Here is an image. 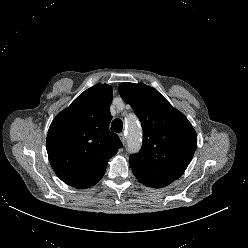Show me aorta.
<instances>
[{"mask_svg": "<svg viewBox=\"0 0 248 248\" xmlns=\"http://www.w3.org/2000/svg\"><path fill=\"white\" fill-rule=\"evenodd\" d=\"M128 146L130 150H137L141 146L140 126L135 121L128 123Z\"/></svg>", "mask_w": 248, "mask_h": 248, "instance_id": "aorta-1", "label": "aorta"}]
</instances>
